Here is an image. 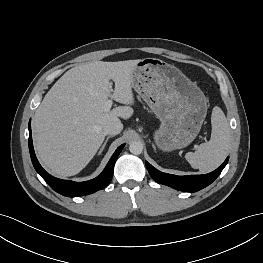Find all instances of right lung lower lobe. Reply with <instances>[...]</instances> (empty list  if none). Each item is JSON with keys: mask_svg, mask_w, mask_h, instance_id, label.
Wrapping results in <instances>:
<instances>
[{"mask_svg": "<svg viewBox=\"0 0 263 263\" xmlns=\"http://www.w3.org/2000/svg\"><path fill=\"white\" fill-rule=\"evenodd\" d=\"M123 147L124 144L117 148L108 164L106 165L105 169L98 177L85 182L61 180L48 174L39 164L33 149L31 125L29 122V151L35 170L54 191L67 197L84 196L106 188L111 182L116 159L122 151Z\"/></svg>", "mask_w": 263, "mask_h": 263, "instance_id": "1", "label": "right lung lower lobe"}]
</instances>
